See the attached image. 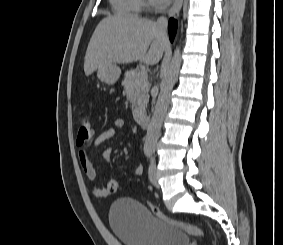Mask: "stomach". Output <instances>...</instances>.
I'll use <instances>...</instances> for the list:
<instances>
[{"label": "stomach", "mask_w": 283, "mask_h": 245, "mask_svg": "<svg viewBox=\"0 0 283 245\" xmlns=\"http://www.w3.org/2000/svg\"><path fill=\"white\" fill-rule=\"evenodd\" d=\"M121 74L120 68L114 64H107L97 68V77L100 81L112 85L117 82Z\"/></svg>", "instance_id": "stomach-1"}]
</instances>
